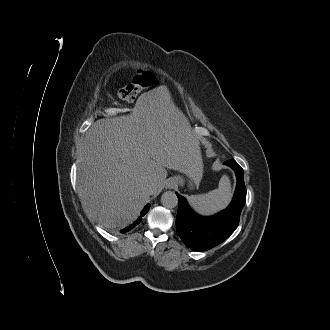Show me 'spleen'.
Here are the masks:
<instances>
[{
    "label": "spleen",
    "instance_id": "1",
    "mask_svg": "<svg viewBox=\"0 0 330 330\" xmlns=\"http://www.w3.org/2000/svg\"><path fill=\"white\" fill-rule=\"evenodd\" d=\"M232 198L231 183L228 176L223 175L217 189L206 194L191 195L188 198L191 207L201 215H212L228 206Z\"/></svg>",
    "mask_w": 330,
    "mask_h": 330
}]
</instances>
